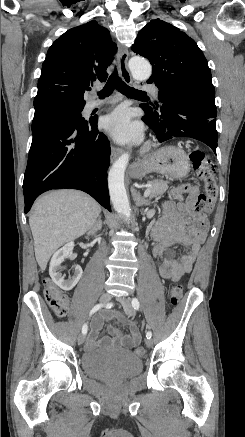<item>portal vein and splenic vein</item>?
I'll return each instance as SVG.
<instances>
[{
  "instance_id": "1",
  "label": "portal vein and splenic vein",
  "mask_w": 245,
  "mask_h": 437,
  "mask_svg": "<svg viewBox=\"0 0 245 437\" xmlns=\"http://www.w3.org/2000/svg\"><path fill=\"white\" fill-rule=\"evenodd\" d=\"M150 189H151V184L147 185V188H146V190L144 192V196L145 197H148L150 195V192H151Z\"/></svg>"
}]
</instances>
